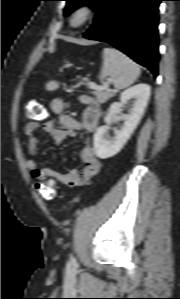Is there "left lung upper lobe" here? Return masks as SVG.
I'll use <instances>...</instances> for the list:
<instances>
[{"label": "left lung upper lobe", "instance_id": "obj_1", "mask_svg": "<svg viewBox=\"0 0 180 299\" xmlns=\"http://www.w3.org/2000/svg\"><path fill=\"white\" fill-rule=\"evenodd\" d=\"M67 2L64 14L68 15L82 5H89L93 10L97 8L102 0H65Z\"/></svg>", "mask_w": 180, "mask_h": 299}]
</instances>
